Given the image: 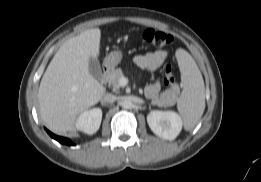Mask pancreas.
Listing matches in <instances>:
<instances>
[{"instance_id": "1", "label": "pancreas", "mask_w": 261, "mask_h": 182, "mask_svg": "<svg viewBox=\"0 0 261 182\" xmlns=\"http://www.w3.org/2000/svg\"><path fill=\"white\" fill-rule=\"evenodd\" d=\"M123 72L120 68H117L113 70L109 75H108V83L111 85L114 89H117L120 87V78H122ZM176 101V94L170 93V92H164L160 95L159 98L154 99L152 101L153 104H169L172 105Z\"/></svg>"}]
</instances>
